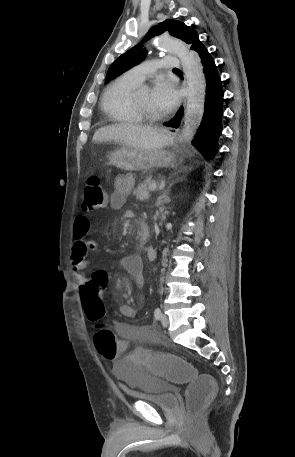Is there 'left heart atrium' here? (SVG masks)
I'll use <instances>...</instances> for the list:
<instances>
[{
  "mask_svg": "<svg viewBox=\"0 0 295 457\" xmlns=\"http://www.w3.org/2000/svg\"><path fill=\"white\" fill-rule=\"evenodd\" d=\"M154 105L161 112L171 110L178 102V92L172 82L158 79L151 91Z\"/></svg>",
  "mask_w": 295,
  "mask_h": 457,
  "instance_id": "1",
  "label": "left heart atrium"
}]
</instances>
